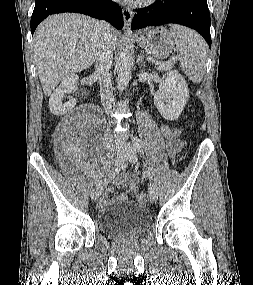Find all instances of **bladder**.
<instances>
[{
	"label": "bladder",
	"mask_w": 253,
	"mask_h": 285,
	"mask_svg": "<svg viewBox=\"0 0 253 285\" xmlns=\"http://www.w3.org/2000/svg\"><path fill=\"white\" fill-rule=\"evenodd\" d=\"M98 222L106 235L127 239L144 234L150 226L151 216L145 206L131 201L102 208Z\"/></svg>",
	"instance_id": "1"
}]
</instances>
